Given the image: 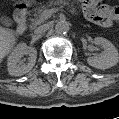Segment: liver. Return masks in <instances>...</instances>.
I'll list each match as a JSON object with an SVG mask.
<instances>
[{
	"mask_svg": "<svg viewBox=\"0 0 119 119\" xmlns=\"http://www.w3.org/2000/svg\"><path fill=\"white\" fill-rule=\"evenodd\" d=\"M12 41V35L0 27V62L9 53Z\"/></svg>",
	"mask_w": 119,
	"mask_h": 119,
	"instance_id": "obj_1",
	"label": "liver"
}]
</instances>
